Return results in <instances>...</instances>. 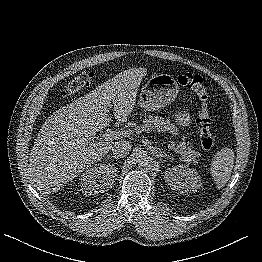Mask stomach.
Here are the masks:
<instances>
[{
  "label": "stomach",
  "instance_id": "stomach-1",
  "mask_svg": "<svg viewBox=\"0 0 262 262\" xmlns=\"http://www.w3.org/2000/svg\"><path fill=\"white\" fill-rule=\"evenodd\" d=\"M178 84L169 74L153 75L143 86L138 106L148 111H156L175 100L178 94ZM175 119L179 125L186 126L190 123L186 112H178Z\"/></svg>",
  "mask_w": 262,
  "mask_h": 262
}]
</instances>
